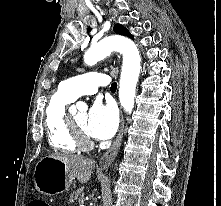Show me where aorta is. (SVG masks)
Wrapping results in <instances>:
<instances>
[{
  "label": "aorta",
  "instance_id": "1",
  "mask_svg": "<svg viewBox=\"0 0 221 206\" xmlns=\"http://www.w3.org/2000/svg\"><path fill=\"white\" fill-rule=\"evenodd\" d=\"M113 51L120 52L123 55L119 100L124 110L127 113H131L134 107L136 85L141 69V58L135 43L124 36L112 35L105 37L87 50L84 55V62L90 66L95 65ZM77 107L79 109L87 108L81 102L77 104Z\"/></svg>",
  "mask_w": 221,
  "mask_h": 206
}]
</instances>
